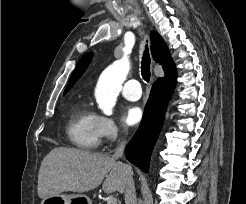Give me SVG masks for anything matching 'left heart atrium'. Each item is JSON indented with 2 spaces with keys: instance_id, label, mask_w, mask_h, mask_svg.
<instances>
[{
  "instance_id": "39dd6f15",
  "label": "left heart atrium",
  "mask_w": 246,
  "mask_h": 204,
  "mask_svg": "<svg viewBox=\"0 0 246 204\" xmlns=\"http://www.w3.org/2000/svg\"><path fill=\"white\" fill-rule=\"evenodd\" d=\"M143 117V111L138 106H129L124 114V121L129 126L137 125Z\"/></svg>"
}]
</instances>
